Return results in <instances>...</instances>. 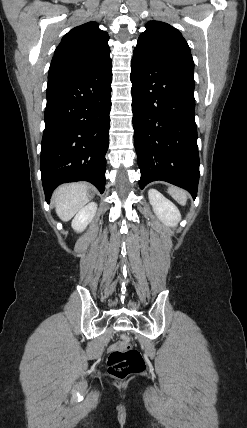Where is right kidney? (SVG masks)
Listing matches in <instances>:
<instances>
[{
  "label": "right kidney",
  "instance_id": "right-kidney-1",
  "mask_svg": "<svg viewBox=\"0 0 247 428\" xmlns=\"http://www.w3.org/2000/svg\"><path fill=\"white\" fill-rule=\"evenodd\" d=\"M97 211V204L91 202L87 204L85 207L80 209L74 219L72 220V228L77 231H83L88 224L92 221Z\"/></svg>",
  "mask_w": 247,
  "mask_h": 428
}]
</instances>
